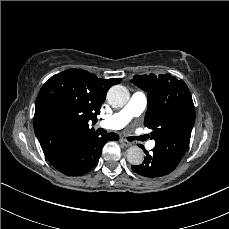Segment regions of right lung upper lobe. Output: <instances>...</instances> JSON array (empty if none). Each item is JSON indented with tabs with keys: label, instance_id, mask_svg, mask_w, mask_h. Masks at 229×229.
Returning <instances> with one entry per match:
<instances>
[{
	"label": "right lung upper lobe",
	"instance_id": "1",
	"mask_svg": "<svg viewBox=\"0 0 229 229\" xmlns=\"http://www.w3.org/2000/svg\"><path fill=\"white\" fill-rule=\"evenodd\" d=\"M121 79H101L82 69L52 76L41 88L35 105L34 131L54 165L78 142L96 133V122L108 89Z\"/></svg>",
	"mask_w": 229,
	"mask_h": 229
}]
</instances>
